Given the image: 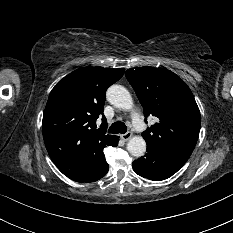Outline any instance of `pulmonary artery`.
Listing matches in <instances>:
<instances>
[{"mask_svg": "<svg viewBox=\"0 0 233 233\" xmlns=\"http://www.w3.org/2000/svg\"><path fill=\"white\" fill-rule=\"evenodd\" d=\"M132 122H133V126L136 128V129H142L143 128V124H142V121H141V118L139 116L138 113L134 112L132 114Z\"/></svg>", "mask_w": 233, "mask_h": 233, "instance_id": "1", "label": "pulmonary artery"}]
</instances>
